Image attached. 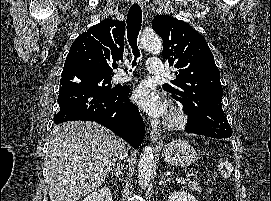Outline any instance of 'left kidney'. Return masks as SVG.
<instances>
[{
  "mask_svg": "<svg viewBox=\"0 0 271 201\" xmlns=\"http://www.w3.org/2000/svg\"><path fill=\"white\" fill-rule=\"evenodd\" d=\"M167 201H197L193 195L187 192H173Z\"/></svg>",
  "mask_w": 271,
  "mask_h": 201,
  "instance_id": "5707ae66",
  "label": "left kidney"
}]
</instances>
